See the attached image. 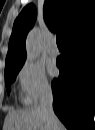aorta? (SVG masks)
Segmentation results:
<instances>
[{"label":"aorta","mask_w":95,"mask_h":130,"mask_svg":"<svg viewBox=\"0 0 95 130\" xmlns=\"http://www.w3.org/2000/svg\"><path fill=\"white\" fill-rule=\"evenodd\" d=\"M40 51V32L38 28L32 29L26 39V54L28 60H35Z\"/></svg>","instance_id":"aorta-1"}]
</instances>
